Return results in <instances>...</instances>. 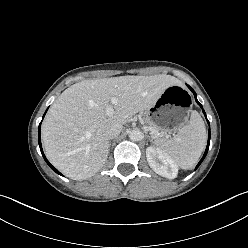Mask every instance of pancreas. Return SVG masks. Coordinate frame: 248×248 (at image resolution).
<instances>
[{
	"label": "pancreas",
	"mask_w": 248,
	"mask_h": 248,
	"mask_svg": "<svg viewBox=\"0 0 248 248\" xmlns=\"http://www.w3.org/2000/svg\"><path fill=\"white\" fill-rule=\"evenodd\" d=\"M150 125V124H149ZM151 126V128L154 130V131H156L157 133H158V130L155 128V127H153L152 125H150Z\"/></svg>",
	"instance_id": "pancreas-1"
}]
</instances>
